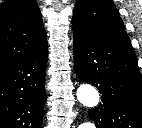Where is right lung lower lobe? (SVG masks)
I'll return each mask as SVG.
<instances>
[{"instance_id": "obj_1", "label": "right lung lower lobe", "mask_w": 142, "mask_h": 128, "mask_svg": "<svg viewBox=\"0 0 142 128\" xmlns=\"http://www.w3.org/2000/svg\"><path fill=\"white\" fill-rule=\"evenodd\" d=\"M47 43L0 71V128H41Z\"/></svg>"}]
</instances>
